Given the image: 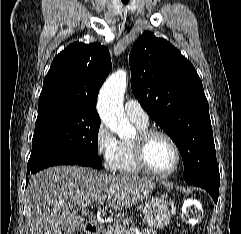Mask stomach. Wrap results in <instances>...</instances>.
Masks as SVG:
<instances>
[{
  "instance_id": "0dacf381",
  "label": "stomach",
  "mask_w": 241,
  "mask_h": 234,
  "mask_svg": "<svg viewBox=\"0 0 241 234\" xmlns=\"http://www.w3.org/2000/svg\"><path fill=\"white\" fill-rule=\"evenodd\" d=\"M174 206L163 196L149 198L144 206V219L151 229L166 226L173 214Z\"/></svg>"
}]
</instances>
